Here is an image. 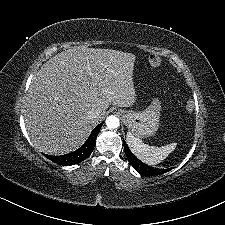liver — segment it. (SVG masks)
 Here are the masks:
<instances>
[{"mask_svg":"<svg viewBox=\"0 0 225 225\" xmlns=\"http://www.w3.org/2000/svg\"><path fill=\"white\" fill-rule=\"evenodd\" d=\"M135 59L122 51L78 47L44 63L32 78L23 110L35 148L50 155L72 152L102 121L109 105L132 106ZM91 110L99 116L90 118Z\"/></svg>","mask_w":225,"mask_h":225,"instance_id":"6515ba94","label":"liver"}]
</instances>
